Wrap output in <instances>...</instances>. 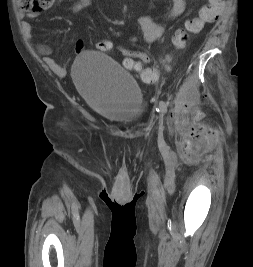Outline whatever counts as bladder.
Listing matches in <instances>:
<instances>
[{
  "label": "bladder",
  "instance_id": "obj_1",
  "mask_svg": "<svg viewBox=\"0 0 253 267\" xmlns=\"http://www.w3.org/2000/svg\"><path fill=\"white\" fill-rule=\"evenodd\" d=\"M79 93L104 119L120 124L137 123L145 109L144 92L135 78L103 53L84 51L72 67Z\"/></svg>",
  "mask_w": 253,
  "mask_h": 267
}]
</instances>
